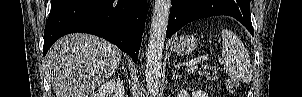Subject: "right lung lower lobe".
<instances>
[{
    "label": "right lung lower lobe",
    "mask_w": 302,
    "mask_h": 97,
    "mask_svg": "<svg viewBox=\"0 0 302 97\" xmlns=\"http://www.w3.org/2000/svg\"><path fill=\"white\" fill-rule=\"evenodd\" d=\"M146 17L147 0H52L43 54L60 37L82 32L103 37L136 62Z\"/></svg>",
    "instance_id": "98d812e1"
}]
</instances>
